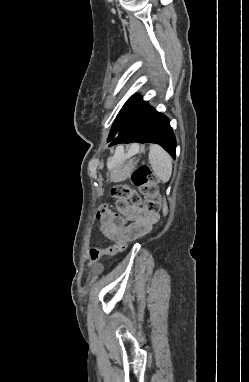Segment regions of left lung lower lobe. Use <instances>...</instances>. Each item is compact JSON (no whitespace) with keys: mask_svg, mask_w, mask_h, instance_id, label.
<instances>
[{"mask_svg":"<svg viewBox=\"0 0 249 382\" xmlns=\"http://www.w3.org/2000/svg\"><path fill=\"white\" fill-rule=\"evenodd\" d=\"M132 142L159 144L175 158L176 139L169 119L152 107L131 128L119 133L109 146Z\"/></svg>","mask_w":249,"mask_h":382,"instance_id":"0a47b994","label":"left lung lower lobe"}]
</instances>
